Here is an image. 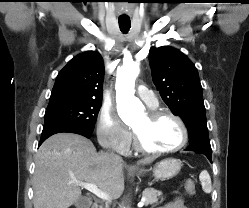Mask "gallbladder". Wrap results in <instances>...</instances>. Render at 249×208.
<instances>
[{"label": "gallbladder", "mask_w": 249, "mask_h": 208, "mask_svg": "<svg viewBox=\"0 0 249 208\" xmlns=\"http://www.w3.org/2000/svg\"><path fill=\"white\" fill-rule=\"evenodd\" d=\"M90 200L87 197H81L76 203V208H89Z\"/></svg>", "instance_id": "obj_1"}]
</instances>
